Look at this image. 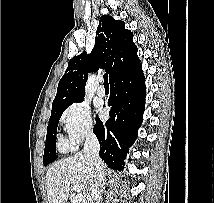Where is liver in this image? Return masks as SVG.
<instances>
[{
  "instance_id": "1",
  "label": "liver",
  "mask_w": 214,
  "mask_h": 203,
  "mask_svg": "<svg viewBox=\"0 0 214 203\" xmlns=\"http://www.w3.org/2000/svg\"><path fill=\"white\" fill-rule=\"evenodd\" d=\"M106 166L104 165V170ZM91 168L82 152L55 162L46 173V190L49 203H67L74 186L81 187L86 203L91 194Z\"/></svg>"
}]
</instances>
